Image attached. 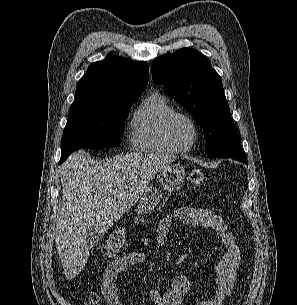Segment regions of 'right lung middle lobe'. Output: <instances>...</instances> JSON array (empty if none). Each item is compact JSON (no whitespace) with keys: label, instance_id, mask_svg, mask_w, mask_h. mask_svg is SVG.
Wrapping results in <instances>:
<instances>
[{"label":"right lung middle lobe","instance_id":"1","mask_svg":"<svg viewBox=\"0 0 297 305\" xmlns=\"http://www.w3.org/2000/svg\"><path fill=\"white\" fill-rule=\"evenodd\" d=\"M137 98L71 106L63 132L61 158L66 160L73 151L81 148L117 147L121 143L130 105Z\"/></svg>","mask_w":297,"mask_h":305}]
</instances>
